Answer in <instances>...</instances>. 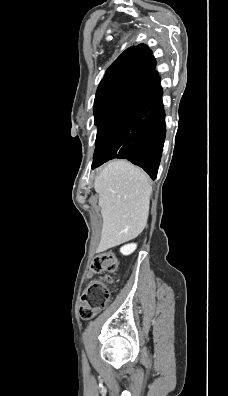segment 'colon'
I'll return each instance as SVG.
<instances>
[{"label": "colon", "instance_id": "obj_1", "mask_svg": "<svg viewBox=\"0 0 228 396\" xmlns=\"http://www.w3.org/2000/svg\"><path fill=\"white\" fill-rule=\"evenodd\" d=\"M119 266L118 258L110 252L98 254L90 264L89 275L99 274L103 271L107 275L101 279L91 281L81 297L80 317L84 320L93 318L110 300L108 285L112 282L113 275Z\"/></svg>", "mask_w": 228, "mask_h": 396}]
</instances>
